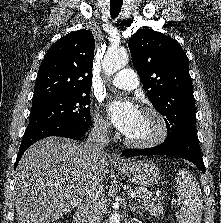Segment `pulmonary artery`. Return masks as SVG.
I'll return each instance as SVG.
<instances>
[{
	"instance_id": "obj_1",
	"label": "pulmonary artery",
	"mask_w": 221,
	"mask_h": 223,
	"mask_svg": "<svg viewBox=\"0 0 221 223\" xmlns=\"http://www.w3.org/2000/svg\"><path fill=\"white\" fill-rule=\"evenodd\" d=\"M110 83L120 89L132 90L138 87L139 80L135 71L122 69L112 77Z\"/></svg>"
}]
</instances>
